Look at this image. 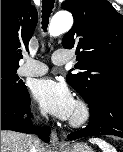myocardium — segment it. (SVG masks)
<instances>
[{
	"instance_id": "f54148a6",
	"label": "myocardium",
	"mask_w": 123,
	"mask_h": 152,
	"mask_svg": "<svg viewBox=\"0 0 123 152\" xmlns=\"http://www.w3.org/2000/svg\"><path fill=\"white\" fill-rule=\"evenodd\" d=\"M76 114L69 118L68 124L73 128L85 126L92 117L90 105L83 99H77L75 102Z\"/></svg>"
}]
</instances>
